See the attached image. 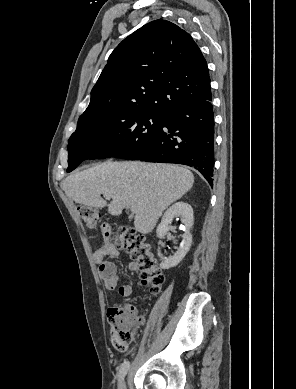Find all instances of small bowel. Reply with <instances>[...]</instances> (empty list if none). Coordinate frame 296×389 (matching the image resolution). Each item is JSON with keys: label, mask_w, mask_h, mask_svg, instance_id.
Returning a JSON list of instances; mask_svg holds the SVG:
<instances>
[{"label": "small bowel", "mask_w": 296, "mask_h": 389, "mask_svg": "<svg viewBox=\"0 0 296 389\" xmlns=\"http://www.w3.org/2000/svg\"><path fill=\"white\" fill-rule=\"evenodd\" d=\"M110 231L107 225L104 224L102 226L103 235L107 240L109 239ZM116 254V248L108 241L94 251L93 259L98 265L99 273L104 281L106 290L109 292L118 290L121 296L127 297L132 293V286L127 283L119 284L120 277L117 274L116 266L109 260V257L115 256ZM138 268V264L135 262H131L128 265V269L131 272H137Z\"/></svg>", "instance_id": "1"}]
</instances>
